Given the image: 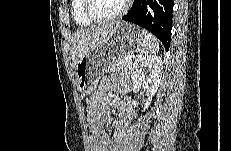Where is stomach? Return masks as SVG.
<instances>
[{"label": "stomach", "mask_w": 231, "mask_h": 151, "mask_svg": "<svg viewBox=\"0 0 231 151\" xmlns=\"http://www.w3.org/2000/svg\"><path fill=\"white\" fill-rule=\"evenodd\" d=\"M142 43L143 36L137 26L117 22L101 45L80 56L75 68L78 90L84 95L93 94L112 62L120 56L137 52Z\"/></svg>", "instance_id": "0dacf381"}]
</instances>
